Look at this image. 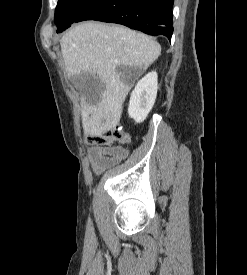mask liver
<instances>
[{
  "label": "liver",
  "mask_w": 247,
  "mask_h": 275,
  "mask_svg": "<svg viewBox=\"0 0 247 275\" xmlns=\"http://www.w3.org/2000/svg\"><path fill=\"white\" fill-rule=\"evenodd\" d=\"M68 77L89 73L103 84L98 95L81 100L84 133L98 137L115 128L131 84L119 69L146 70L160 55L161 46L151 37L119 25L84 22L60 40Z\"/></svg>",
  "instance_id": "6515ba94"
}]
</instances>
